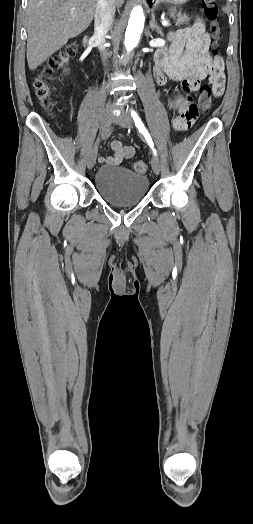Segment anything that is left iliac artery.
I'll return each instance as SVG.
<instances>
[{
    "label": "left iliac artery",
    "instance_id": "obj_1",
    "mask_svg": "<svg viewBox=\"0 0 253 524\" xmlns=\"http://www.w3.org/2000/svg\"><path fill=\"white\" fill-rule=\"evenodd\" d=\"M131 116H132V118L134 120V123H135L136 127L138 128L139 132L144 135L147 143L149 144V146L153 150V153L156 154V150L154 148V143L152 141V138H151L150 134L148 133L147 129L145 128V126H144L143 122L141 121L140 117L138 116V114L134 110L131 111Z\"/></svg>",
    "mask_w": 253,
    "mask_h": 524
}]
</instances>
